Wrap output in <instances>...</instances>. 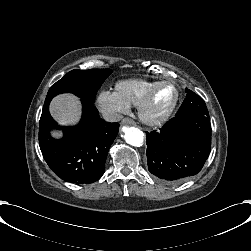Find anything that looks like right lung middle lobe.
I'll return each mask as SVG.
<instances>
[{"label": "right lung middle lobe", "mask_w": 251, "mask_h": 251, "mask_svg": "<svg viewBox=\"0 0 251 251\" xmlns=\"http://www.w3.org/2000/svg\"><path fill=\"white\" fill-rule=\"evenodd\" d=\"M112 73L111 69L72 70L49 89L44 107L52 98L61 93H73L76 96L94 102L97 91L105 79Z\"/></svg>", "instance_id": "1"}]
</instances>
